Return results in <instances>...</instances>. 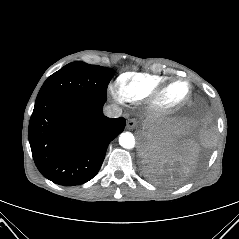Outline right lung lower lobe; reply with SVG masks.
Listing matches in <instances>:
<instances>
[{"mask_svg":"<svg viewBox=\"0 0 239 239\" xmlns=\"http://www.w3.org/2000/svg\"><path fill=\"white\" fill-rule=\"evenodd\" d=\"M105 101L58 95L35 102L28 135L34 162L43 176L72 186L98 173L109 143L126 124L122 117L103 115Z\"/></svg>","mask_w":239,"mask_h":239,"instance_id":"obj_1","label":"right lung lower lobe"}]
</instances>
